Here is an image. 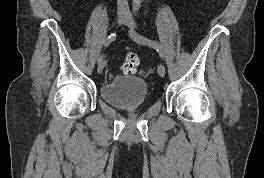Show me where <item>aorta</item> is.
<instances>
[{
  "mask_svg": "<svg viewBox=\"0 0 264 178\" xmlns=\"http://www.w3.org/2000/svg\"><path fill=\"white\" fill-rule=\"evenodd\" d=\"M141 2H142V0H133V9L134 10L139 9Z\"/></svg>",
  "mask_w": 264,
  "mask_h": 178,
  "instance_id": "1",
  "label": "aorta"
}]
</instances>
